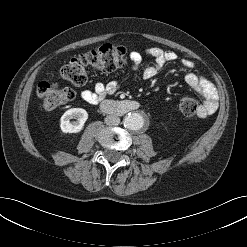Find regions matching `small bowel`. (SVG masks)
Here are the masks:
<instances>
[{
  "label": "small bowel",
  "mask_w": 247,
  "mask_h": 247,
  "mask_svg": "<svg viewBox=\"0 0 247 247\" xmlns=\"http://www.w3.org/2000/svg\"><path fill=\"white\" fill-rule=\"evenodd\" d=\"M147 55L154 59L153 62L142 65V58L138 52L131 53L133 79H151L155 77L159 71L168 63L175 62L178 58L177 54L170 50L161 48H150L147 50ZM181 65L188 70L185 74L187 85L194 90L202 99V104L197 112L199 118L207 117L213 114L217 109L218 92L211 81L202 77L191 70L194 68V63L190 60H181ZM121 83L98 82L92 90H83L80 94L82 100L88 103H98L108 95L115 94Z\"/></svg>",
  "instance_id": "1"
}]
</instances>
